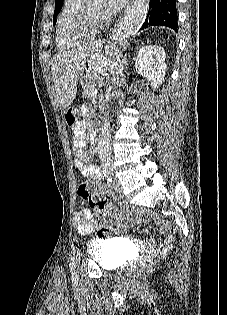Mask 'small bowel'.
Returning a JSON list of instances; mask_svg holds the SVG:
<instances>
[{"instance_id":"obj_1","label":"small bowel","mask_w":227,"mask_h":315,"mask_svg":"<svg viewBox=\"0 0 227 315\" xmlns=\"http://www.w3.org/2000/svg\"><path fill=\"white\" fill-rule=\"evenodd\" d=\"M72 139V153L74 156L75 167L80 170L83 176L89 178L92 185L96 187H103L104 185L102 182V173L100 169L94 166L84 154L86 142L82 124H78L74 127ZM110 207L112 211L109 215L111 220L122 221L126 219L128 213L132 211L123 201L119 202L118 205H115L113 198L111 199ZM73 224L77 231L81 234H91L99 225L98 222L94 220L92 212L88 208H81L75 213ZM160 232L164 234L165 237L162 241L153 243L152 246L156 251L165 250L172 242V237L166 224L160 225Z\"/></svg>"}]
</instances>
